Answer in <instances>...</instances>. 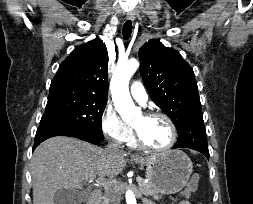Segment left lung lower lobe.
Wrapping results in <instances>:
<instances>
[{
  "label": "left lung lower lobe",
  "mask_w": 253,
  "mask_h": 204,
  "mask_svg": "<svg viewBox=\"0 0 253 204\" xmlns=\"http://www.w3.org/2000/svg\"><path fill=\"white\" fill-rule=\"evenodd\" d=\"M190 148L204 154L209 159L207 135L204 127L203 114L191 117L178 131V140L173 146L175 148Z\"/></svg>",
  "instance_id": "obj_1"
}]
</instances>
